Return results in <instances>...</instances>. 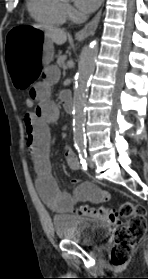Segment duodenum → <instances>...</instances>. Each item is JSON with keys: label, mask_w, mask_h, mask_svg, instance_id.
I'll return each instance as SVG.
<instances>
[{"label": "duodenum", "mask_w": 148, "mask_h": 279, "mask_svg": "<svg viewBox=\"0 0 148 279\" xmlns=\"http://www.w3.org/2000/svg\"><path fill=\"white\" fill-rule=\"evenodd\" d=\"M62 104H63V107L65 108V110L68 113H72V111H73V102H72V99L70 98L69 95L62 96Z\"/></svg>", "instance_id": "410a0bca"}]
</instances>
